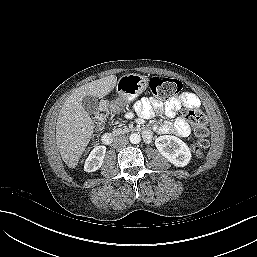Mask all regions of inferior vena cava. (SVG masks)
<instances>
[{"instance_id": "obj_1", "label": "inferior vena cava", "mask_w": 257, "mask_h": 257, "mask_svg": "<svg viewBox=\"0 0 257 257\" xmlns=\"http://www.w3.org/2000/svg\"><path fill=\"white\" fill-rule=\"evenodd\" d=\"M128 143H129V141H128V138L126 136H120V137H117L114 140L113 145L116 148H122V147L126 146Z\"/></svg>"}]
</instances>
